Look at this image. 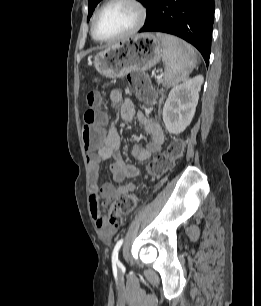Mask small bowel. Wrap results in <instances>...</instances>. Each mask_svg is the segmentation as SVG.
<instances>
[{
	"label": "small bowel",
	"mask_w": 261,
	"mask_h": 306,
	"mask_svg": "<svg viewBox=\"0 0 261 306\" xmlns=\"http://www.w3.org/2000/svg\"><path fill=\"white\" fill-rule=\"evenodd\" d=\"M109 103L112 108L120 107L123 120L128 122L137 121L149 135V141L145 146L134 145L131 155L138 161L147 160L153 153L161 150L164 143V133L160 125L142 112L136 110L132 100L124 98L119 89L111 91ZM121 136L116 127L110 126L105 136L104 144L95 153L87 154L89 169V206L90 214L100 233L111 238L116 229L110 225L104 215L103 203H109L118 197L132 193L136 190V184L129 182L119 187H115L109 182L99 181L100 164L103 161L112 160L110 171L115 182H123L126 179L134 178L138 174V169L124 161L121 153Z\"/></svg>",
	"instance_id": "obj_1"
}]
</instances>
